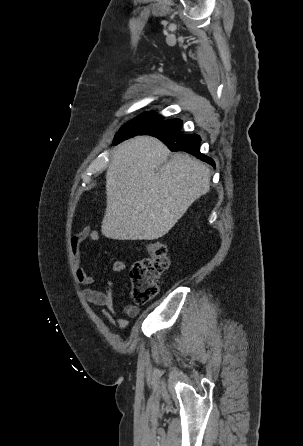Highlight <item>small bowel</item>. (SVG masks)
<instances>
[{
	"label": "small bowel",
	"instance_id": "c3829d8e",
	"mask_svg": "<svg viewBox=\"0 0 303 446\" xmlns=\"http://www.w3.org/2000/svg\"><path fill=\"white\" fill-rule=\"evenodd\" d=\"M100 239L98 231L89 226H84L76 233L70 241V250L72 256L73 275L80 285L91 286L95 283V278L87 274L82 264L83 244L86 241L97 242ZM112 270L116 273L125 270V263L117 260L112 265ZM84 299L96 306L105 307L106 310L101 311V316L113 327H119L124 331L129 325V319L135 318L140 313V308L136 305H125L123 307V316L117 314L114 305L113 284L108 281L102 290L92 288H84L82 290Z\"/></svg>",
	"mask_w": 303,
	"mask_h": 446
}]
</instances>
